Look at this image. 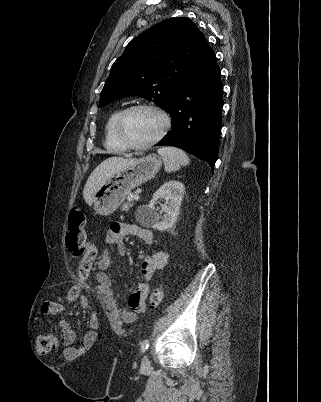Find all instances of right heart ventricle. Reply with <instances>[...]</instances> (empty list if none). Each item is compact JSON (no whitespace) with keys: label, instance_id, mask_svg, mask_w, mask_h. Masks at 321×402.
Returning <instances> with one entry per match:
<instances>
[{"label":"right heart ventricle","instance_id":"e07e8e85","mask_svg":"<svg viewBox=\"0 0 321 402\" xmlns=\"http://www.w3.org/2000/svg\"><path fill=\"white\" fill-rule=\"evenodd\" d=\"M122 110L118 109L111 113L106 121L104 129V146L107 150L113 153H122L126 148L121 144L115 132V123Z\"/></svg>","mask_w":321,"mask_h":402}]
</instances>
